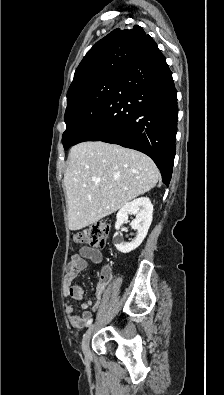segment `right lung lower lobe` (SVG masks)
<instances>
[{
    "label": "right lung lower lobe",
    "mask_w": 224,
    "mask_h": 395,
    "mask_svg": "<svg viewBox=\"0 0 224 395\" xmlns=\"http://www.w3.org/2000/svg\"><path fill=\"white\" fill-rule=\"evenodd\" d=\"M177 117L172 73L157 44L148 37L75 144L103 141L141 151L153 159L168 185L175 157Z\"/></svg>",
    "instance_id": "right-lung-lower-lobe-1"
}]
</instances>
